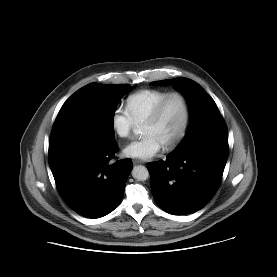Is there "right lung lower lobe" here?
Segmentation results:
<instances>
[{
  "label": "right lung lower lobe",
  "instance_id": "obj_1",
  "mask_svg": "<svg viewBox=\"0 0 277 277\" xmlns=\"http://www.w3.org/2000/svg\"><path fill=\"white\" fill-rule=\"evenodd\" d=\"M117 143L75 126L54 125L48 160L67 206L81 216L99 218L121 202L132 160L111 162Z\"/></svg>",
  "mask_w": 277,
  "mask_h": 277
}]
</instances>
